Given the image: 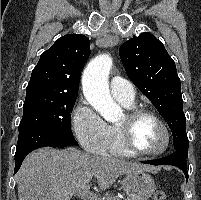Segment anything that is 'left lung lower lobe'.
I'll use <instances>...</instances> for the list:
<instances>
[{"label":"left lung lower lobe","mask_w":201,"mask_h":200,"mask_svg":"<svg viewBox=\"0 0 201 200\" xmlns=\"http://www.w3.org/2000/svg\"><path fill=\"white\" fill-rule=\"evenodd\" d=\"M187 158H188V150L179 149L167 157L157 159V160L143 161L142 163L151 164V165L176 166L184 172L186 177V182H187L188 181Z\"/></svg>","instance_id":"0a47b994"}]
</instances>
